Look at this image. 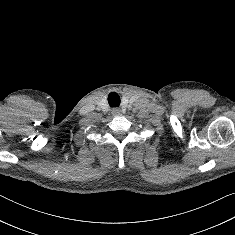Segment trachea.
Masks as SVG:
<instances>
[{"label": "trachea", "instance_id": "1", "mask_svg": "<svg viewBox=\"0 0 235 235\" xmlns=\"http://www.w3.org/2000/svg\"><path fill=\"white\" fill-rule=\"evenodd\" d=\"M108 103L111 107H118L120 105L119 95L115 92H111L108 96Z\"/></svg>", "mask_w": 235, "mask_h": 235}]
</instances>
